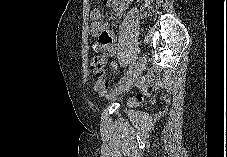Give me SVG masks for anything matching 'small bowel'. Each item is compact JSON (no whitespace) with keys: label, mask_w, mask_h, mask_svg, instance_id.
<instances>
[{"label":"small bowel","mask_w":227,"mask_h":157,"mask_svg":"<svg viewBox=\"0 0 227 157\" xmlns=\"http://www.w3.org/2000/svg\"><path fill=\"white\" fill-rule=\"evenodd\" d=\"M104 4L111 5L115 11L122 15L125 13L132 0H103ZM90 17L92 20L90 31L92 36L98 39L100 46L104 49L107 55L116 53V37L115 33L108 27L103 20V13L100 8H95L91 11ZM112 67L116 68V64L112 63Z\"/></svg>","instance_id":"c3829d8e"}]
</instances>
